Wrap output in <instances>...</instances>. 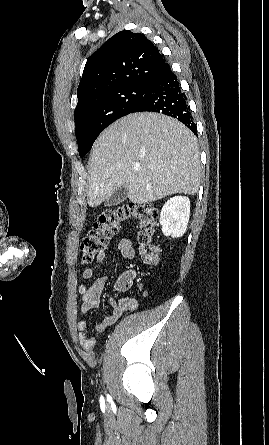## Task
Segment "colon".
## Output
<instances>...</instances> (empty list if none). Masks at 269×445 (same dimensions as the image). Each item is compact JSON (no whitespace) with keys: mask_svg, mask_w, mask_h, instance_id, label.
I'll return each instance as SVG.
<instances>
[{"mask_svg":"<svg viewBox=\"0 0 269 445\" xmlns=\"http://www.w3.org/2000/svg\"><path fill=\"white\" fill-rule=\"evenodd\" d=\"M128 219H134L138 224L142 259L147 263L156 262L159 249L154 240L158 226V211L150 203H127L107 209L98 215L92 229L80 244L81 263L86 265L97 259L109 240ZM130 284L129 279H124L117 283L116 288L125 290Z\"/></svg>","mask_w":269,"mask_h":445,"instance_id":"obj_1","label":"colon"}]
</instances>
